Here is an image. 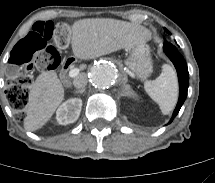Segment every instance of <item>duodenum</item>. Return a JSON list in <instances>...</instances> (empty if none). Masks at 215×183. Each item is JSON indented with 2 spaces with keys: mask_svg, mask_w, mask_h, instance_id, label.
Listing matches in <instances>:
<instances>
[{
  "mask_svg": "<svg viewBox=\"0 0 215 183\" xmlns=\"http://www.w3.org/2000/svg\"><path fill=\"white\" fill-rule=\"evenodd\" d=\"M74 65V59L73 58H67L63 61L62 68H61V74L60 78L64 84H69L70 79L68 78V72Z\"/></svg>",
  "mask_w": 215,
  "mask_h": 183,
  "instance_id": "obj_1",
  "label": "duodenum"
}]
</instances>
